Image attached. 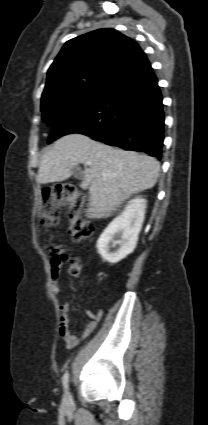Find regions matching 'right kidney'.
I'll return each mask as SVG.
<instances>
[{"mask_svg":"<svg viewBox=\"0 0 208 425\" xmlns=\"http://www.w3.org/2000/svg\"><path fill=\"white\" fill-rule=\"evenodd\" d=\"M146 202L141 197L130 200L124 211L107 226L99 237L97 249L107 262L111 264L117 263L135 249L144 221ZM116 234H120L121 239L113 242V245L119 244L120 248L115 252H111L109 243Z\"/></svg>","mask_w":208,"mask_h":425,"instance_id":"right-kidney-1","label":"right kidney"}]
</instances>
